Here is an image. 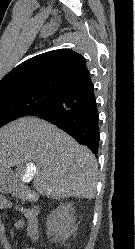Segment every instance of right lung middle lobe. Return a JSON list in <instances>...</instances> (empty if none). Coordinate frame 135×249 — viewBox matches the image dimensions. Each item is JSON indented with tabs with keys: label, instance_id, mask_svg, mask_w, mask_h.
I'll return each instance as SVG.
<instances>
[{
	"label": "right lung middle lobe",
	"instance_id": "right-lung-middle-lobe-1",
	"mask_svg": "<svg viewBox=\"0 0 135 249\" xmlns=\"http://www.w3.org/2000/svg\"><path fill=\"white\" fill-rule=\"evenodd\" d=\"M61 93L55 91H30L14 95L0 96V127L19 117L29 115Z\"/></svg>",
	"mask_w": 135,
	"mask_h": 249
}]
</instances>
